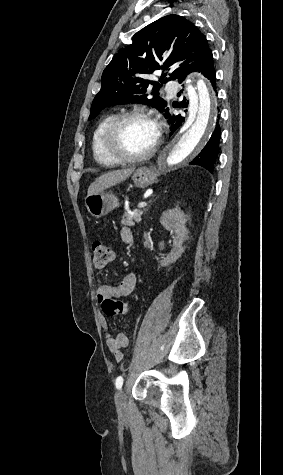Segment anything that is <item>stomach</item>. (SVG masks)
Here are the masks:
<instances>
[{"mask_svg":"<svg viewBox=\"0 0 283 475\" xmlns=\"http://www.w3.org/2000/svg\"><path fill=\"white\" fill-rule=\"evenodd\" d=\"M158 172L154 166H143V168H137L134 170L132 180L137 188H147L150 184H154L157 180ZM119 204L118 198L112 194V192H99L94 196H86L85 206L95 218H101L106 216L109 212H112L114 208H117Z\"/></svg>","mask_w":283,"mask_h":475,"instance_id":"obj_1","label":"stomach"}]
</instances>
